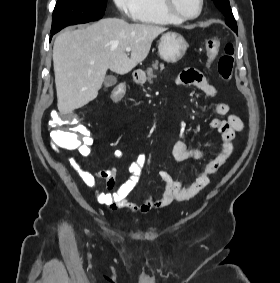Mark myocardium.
<instances>
[{
  "label": "myocardium",
  "instance_id": "obj_1",
  "mask_svg": "<svg viewBox=\"0 0 280 283\" xmlns=\"http://www.w3.org/2000/svg\"><path fill=\"white\" fill-rule=\"evenodd\" d=\"M164 7L166 11L181 21H188L198 18L204 9V0H199V9L194 15H185L181 13L174 5V0H163Z\"/></svg>",
  "mask_w": 280,
  "mask_h": 283
}]
</instances>
